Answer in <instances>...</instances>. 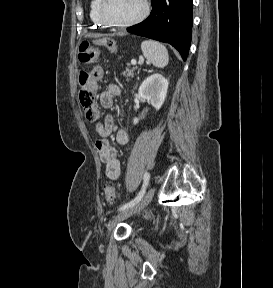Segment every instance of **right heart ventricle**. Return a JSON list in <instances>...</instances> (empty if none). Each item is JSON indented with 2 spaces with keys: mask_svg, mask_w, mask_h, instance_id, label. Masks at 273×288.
<instances>
[{
  "mask_svg": "<svg viewBox=\"0 0 273 288\" xmlns=\"http://www.w3.org/2000/svg\"><path fill=\"white\" fill-rule=\"evenodd\" d=\"M99 0H91L90 3V18L92 22L97 26H105L98 15Z\"/></svg>",
  "mask_w": 273,
  "mask_h": 288,
  "instance_id": "right-heart-ventricle-1",
  "label": "right heart ventricle"
}]
</instances>
